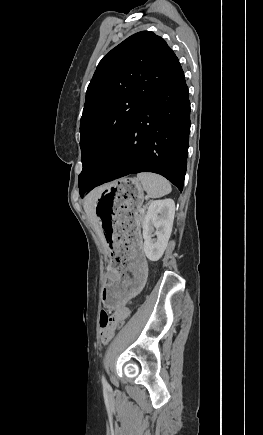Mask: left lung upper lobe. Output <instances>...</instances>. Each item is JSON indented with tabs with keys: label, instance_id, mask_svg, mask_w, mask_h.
<instances>
[{
	"label": "left lung upper lobe",
	"instance_id": "left-lung-upper-lobe-1",
	"mask_svg": "<svg viewBox=\"0 0 263 435\" xmlns=\"http://www.w3.org/2000/svg\"><path fill=\"white\" fill-rule=\"evenodd\" d=\"M179 66L164 39L150 31L128 37L99 62L80 120L81 197L109 166L136 116ZM104 156L110 159L99 170Z\"/></svg>",
	"mask_w": 263,
	"mask_h": 435
}]
</instances>
